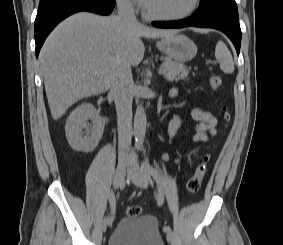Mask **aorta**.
Listing matches in <instances>:
<instances>
[{"mask_svg": "<svg viewBox=\"0 0 283 245\" xmlns=\"http://www.w3.org/2000/svg\"><path fill=\"white\" fill-rule=\"evenodd\" d=\"M146 113L142 104H140L135 112L134 116V136L135 143L138 146H142L146 133Z\"/></svg>", "mask_w": 283, "mask_h": 245, "instance_id": "762f6f07", "label": "aorta"}]
</instances>
